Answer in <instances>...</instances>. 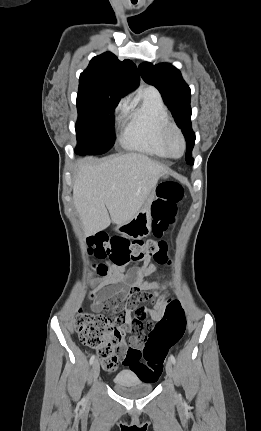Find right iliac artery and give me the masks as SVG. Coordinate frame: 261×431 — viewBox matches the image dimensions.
Instances as JSON below:
<instances>
[{"instance_id":"1","label":"right iliac artery","mask_w":261,"mask_h":431,"mask_svg":"<svg viewBox=\"0 0 261 431\" xmlns=\"http://www.w3.org/2000/svg\"><path fill=\"white\" fill-rule=\"evenodd\" d=\"M95 361V355H92L90 358V365L93 364Z\"/></svg>"}]
</instances>
